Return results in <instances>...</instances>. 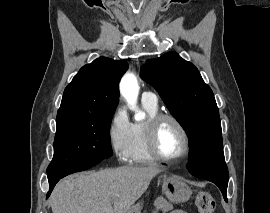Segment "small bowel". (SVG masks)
<instances>
[{
	"instance_id": "obj_1",
	"label": "small bowel",
	"mask_w": 270,
	"mask_h": 213,
	"mask_svg": "<svg viewBox=\"0 0 270 213\" xmlns=\"http://www.w3.org/2000/svg\"><path fill=\"white\" fill-rule=\"evenodd\" d=\"M154 213H187L182 210H175L170 207L166 201H158L155 205Z\"/></svg>"
}]
</instances>
